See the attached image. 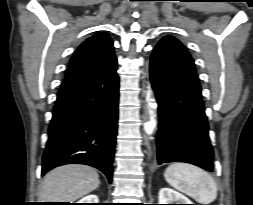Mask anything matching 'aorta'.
I'll list each match as a JSON object with an SVG mask.
<instances>
[{"label":"aorta","instance_id":"762f6f07","mask_svg":"<svg viewBox=\"0 0 253 205\" xmlns=\"http://www.w3.org/2000/svg\"><path fill=\"white\" fill-rule=\"evenodd\" d=\"M148 105L150 107L152 115L155 117V110L157 109V104L155 102V99L151 97V91L149 90L148 94ZM144 128L147 134H152L153 132V127L150 123H145Z\"/></svg>","mask_w":253,"mask_h":205}]
</instances>
